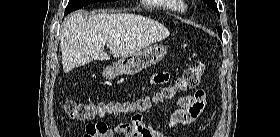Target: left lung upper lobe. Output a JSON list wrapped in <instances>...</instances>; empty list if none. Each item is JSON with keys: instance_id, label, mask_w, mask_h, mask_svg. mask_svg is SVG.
<instances>
[{"instance_id": "1", "label": "left lung upper lobe", "mask_w": 280, "mask_h": 137, "mask_svg": "<svg viewBox=\"0 0 280 137\" xmlns=\"http://www.w3.org/2000/svg\"><path fill=\"white\" fill-rule=\"evenodd\" d=\"M204 2L219 15L217 4L214 0H204ZM218 35L222 39V30L220 27H218Z\"/></svg>"}]
</instances>
